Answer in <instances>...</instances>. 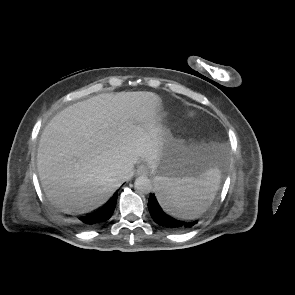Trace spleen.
<instances>
[{
  "label": "spleen",
  "instance_id": "obj_1",
  "mask_svg": "<svg viewBox=\"0 0 295 295\" xmlns=\"http://www.w3.org/2000/svg\"><path fill=\"white\" fill-rule=\"evenodd\" d=\"M157 198L170 214L182 219L198 218L213 201L220 182L218 168L208 169L201 177H155Z\"/></svg>",
  "mask_w": 295,
  "mask_h": 295
}]
</instances>
